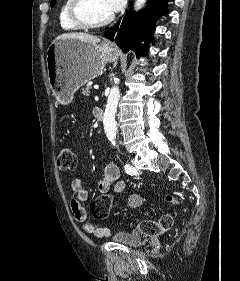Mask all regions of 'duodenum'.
<instances>
[{
  "instance_id": "duodenum-1",
  "label": "duodenum",
  "mask_w": 240,
  "mask_h": 281,
  "mask_svg": "<svg viewBox=\"0 0 240 281\" xmlns=\"http://www.w3.org/2000/svg\"><path fill=\"white\" fill-rule=\"evenodd\" d=\"M93 114L95 118L99 121H102L104 119V111L100 108L94 109Z\"/></svg>"
}]
</instances>
